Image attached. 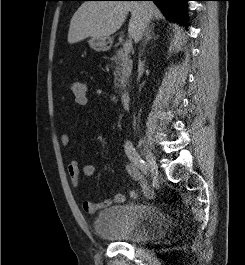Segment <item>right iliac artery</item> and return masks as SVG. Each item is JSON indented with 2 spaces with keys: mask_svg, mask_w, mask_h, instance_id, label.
Masks as SVG:
<instances>
[{
  "mask_svg": "<svg viewBox=\"0 0 245 265\" xmlns=\"http://www.w3.org/2000/svg\"><path fill=\"white\" fill-rule=\"evenodd\" d=\"M125 153L128 156L129 160L138 167L145 175L148 174V167L145 161L140 157L138 152L135 150L132 142H125Z\"/></svg>",
  "mask_w": 245,
  "mask_h": 265,
  "instance_id": "obj_1",
  "label": "right iliac artery"
}]
</instances>
